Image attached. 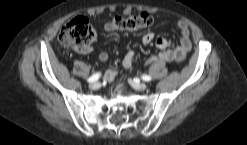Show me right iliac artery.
Masks as SVG:
<instances>
[{
    "instance_id": "82829eb1",
    "label": "right iliac artery",
    "mask_w": 247,
    "mask_h": 145,
    "mask_svg": "<svg viewBox=\"0 0 247 145\" xmlns=\"http://www.w3.org/2000/svg\"><path fill=\"white\" fill-rule=\"evenodd\" d=\"M100 76H101L100 73H95L91 77H89L87 81L90 82V83L91 82H95V81H97L99 79Z\"/></svg>"
}]
</instances>
